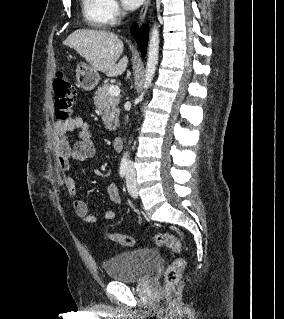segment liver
<instances>
[{
	"label": "liver",
	"mask_w": 284,
	"mask_h": 319,
	"mask_svg": "<svg viewBox=\"0 0 284 319\" xmlns=\"http://www.w3.org/2000/svg\"><path fill=\"white\" fill-rule=\"evenodd\" d=\"M63 44L75 49L93 69L105 73L108 77L121 75L127 68L128 57L123 56L119 60L123 52V42L110 31L77 29Z\"/></svg>",
	"instance_id": "liver-1"
}]
</instances>
